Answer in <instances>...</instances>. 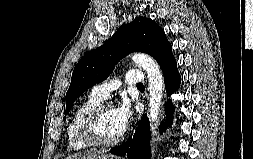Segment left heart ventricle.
Here are the masks:
<instances>
[{"label":"left heart ventricle","instance_id":"obj_1","mask_svg":"<svg viewBox=\"0 0 253 159\" xmlns=\"http://www.w3.org/2000/svg\"><path fill=\"white\" fill-rule=\"evenodd\" d=\"M98 133L102 140H113L123 133L114 108L103 111L98 122Z\"/></svg>","mask_w":253,"mask_h":159}]
</instances>
